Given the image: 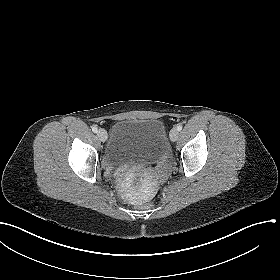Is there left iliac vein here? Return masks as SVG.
I'll return each instance as SVG.
<instances>
[{
    "instance_id": "obj_1",
    "label": "left iliac vein",
    "mask_w": 280,
    "mask_h": 280,
    "mask_svg": "<svg viewBox=\"0 0 280 280\" xmlns=\"http://www.w3.org/2000/svg\"><path fill=\"white\" fill-rule=\"evenodd\" d=\"M178 135H179V131L177 130V128H173L170 131V134H169L170 140L172 142H175L177 140V138H178Z\"/></svg>"
}]
</instances>
